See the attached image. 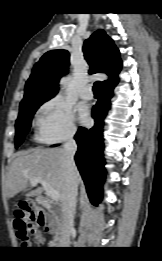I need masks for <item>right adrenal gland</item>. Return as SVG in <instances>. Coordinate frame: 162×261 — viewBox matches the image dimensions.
Masks as SVG:
<instances>
[{"mask_svg":"<svg viewBox=\"0 0 162 261\" xmlns=\"http://www.w3.org/2000/svg\"><path fill=\"white\" fill-rule=\"evenodd\" d=\"M79 200H80V199H77V200H76V203H75V206H74V217H75V214H76L77 203H78Z\"/></svg>","mask_w":162,"mask_h":261,"instance_id":"right-adrenal-gland-1","label":"right adrenal gland"}]
</instances>
